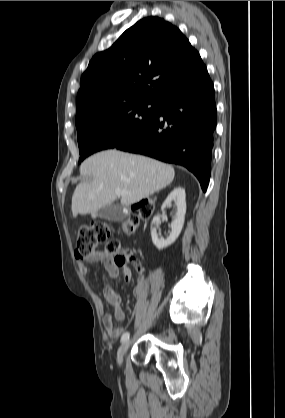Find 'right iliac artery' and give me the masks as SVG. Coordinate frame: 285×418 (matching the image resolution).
I'll list each match as a JSON object with an SVG mask.
<instances>
[{
    "label": "right iliac artery",
    "instance_id": "1",
    "mask_svg": "<svg viewBox=\"0 0 285 418\" xmlns=\"http://www.w3.org/2000/svg\"><path fill=\"white\" fill-rule=\"evenodd\" d=\"M130 333L129 332H125L122 337H121V342L126 341L127 339H129Z\"/></svg>",
    "mask_w": 285,
    "mask_h": 418
}]
</instances>
